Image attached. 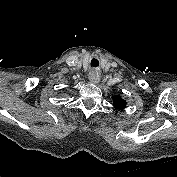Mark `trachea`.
I'll use <instances>...</instances> for the list:
<instances>
[{
    "instance_id": "trachea-1",
    "label": "trachea",
    "mask_w": 177,
    "mask_h": 177,
    "mask_svg": "<svg viewBox=\"0 0 177 177\" xmlns=\"http://www.w3.org/2000/svg\"><path fill=\"white\" fill-rule=\"evenodd\" d=\"M98 65H99L98 60L95 59V58H93V59L91 60V66H92V67H97Z\"/></svg>"
}]
</instances>
